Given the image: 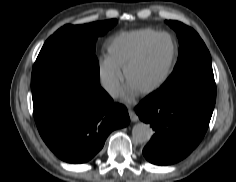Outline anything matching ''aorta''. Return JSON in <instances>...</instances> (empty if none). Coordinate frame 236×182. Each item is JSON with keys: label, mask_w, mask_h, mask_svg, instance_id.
Listing matches in <instances>:
<instances>
[{"label": "aorta", "mask_w": 236, "mask_h": 182, "mask_svg": "<svg viewBox=\"0 0 236 182\" xmlns=\"http://www.w3.org/2000/svg\"><path fill=\"white\" fill-rule=\"evenodd\" d=\"M132 137L137 143H147L152 137V129L150 125L143 122L135 124L132 128Z\"/></svg>", "instance_id": "aorta-1"}]
</instances>
